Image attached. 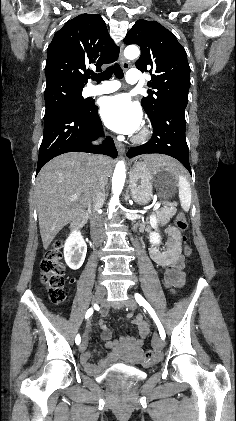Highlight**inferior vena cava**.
I'll list each match as a JSON object with an SVG mask.
<instances>
[{"label": "inferior vena cava", "mask_w": 236, "mask_h": 421, "mask_svg": "<svg viewBox=\"0 0 236 421\" xmlns=\"http://www.w3.org/2000/svg\"><path fill=\"white\" fill-rule=\"evenodd\" d=\"M99 140H94V144H97ZM97 158V156H94ZM94 174L96 182L93 186L91 204H90V223L92 231V239H94L96 245H101L104 237L103 233V217L99 211L105 202V182L101 176L99 166H95Z\"/></svg>", "instance_id": "602c4592"}]
</instances>
